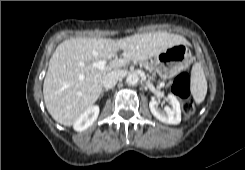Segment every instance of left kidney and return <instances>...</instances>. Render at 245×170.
<instances>
[{
	"mask_svg": "<svg viewBox=\"0 0 245 170\" xmlns=\"http://www.w3.org/2000/svg\"><path fill=\"white\" fill-rule=\"evenodd\" d=\"M168 100L172 108L166 106L164 109L159 108L156 100H151L149 108L154 117L166 124H179L181 122V108L178 99L172 95H168Z\"/></svg>",
	"mask_w": 245,
	"mask_h": 170,
	"instance_id": "left-kidney-1",
	"label": "left kidney"
}]
</instances>
